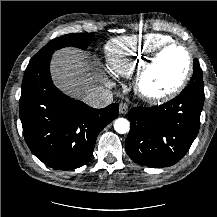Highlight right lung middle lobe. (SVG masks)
I'll return each mask as SVG.
<instances>
[{
	"instance_id": "1",
	"label": "right lung middle lobe",
	"mask_w": 217,
	"mask_h": 217,
	"mask_svg": "<svg viewBox=\"0 0 217 217\" xmlns=\"http://www.w3.org/2000/svg\"><path fill=\"white\" fill-rule=\"evenodd\" d=\"M93 38L94 33H75L63 35L61 37L53 39L32 57L29 65L51 56L55 50L63 47L74 46L81 49H86Z\"/></svg>"
}]
</instances>
